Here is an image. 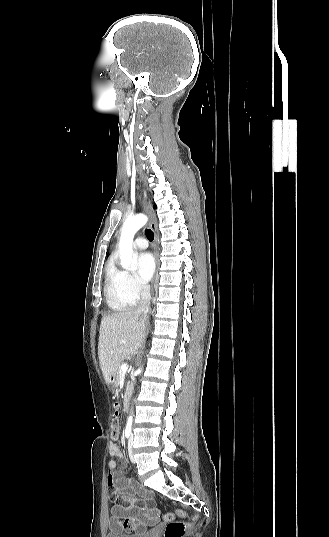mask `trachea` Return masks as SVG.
Masks as SVG:
<instances>
[{
	"label": "trachea",
	"instance_id": "3493384b",
	"mask_svg": "<svg viewBox=\"0 0 329 537\" xmlns=\"http://www.w3.org/2000/svg\"><path fill=\"white\" fill-rule=\"evenodd\" d=\"M146 236L149 241H152L154 239V233L150 229L146 231Z\"/></svg>",
	"mask_w": 329,
	"mask_h": 537
}]
</instances>
